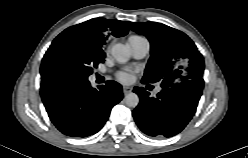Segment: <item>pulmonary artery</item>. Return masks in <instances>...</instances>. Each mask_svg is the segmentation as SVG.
I'll list each match as a JSON object with an SVG mask.
<instances>
[{"label": "pulmonary artery", "mask_w": 248, "mask_h": 158, "mask_svg": "<svg viewBox=\"0 0 248 158\" xmlns=\"http://www.w3.org/2000/svg\"><path fill=\"white\" fill-rule=\"evenodd\" d=\"M128 46L136 59H143L150 51V43L147 38L141 36H131L128 39ZM161 88L158 86L155 92L158 93Z\"/></svg>", "instance_id": "obj_1"}]
</instances>
